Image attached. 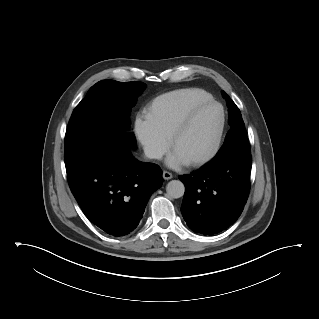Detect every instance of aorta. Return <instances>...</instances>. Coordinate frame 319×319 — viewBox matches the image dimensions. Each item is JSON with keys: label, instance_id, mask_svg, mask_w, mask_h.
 <instances>
[{"label": "aorta", "instance_id": "aorta-1", "mask_svg": "<svg viewBox=\"0 0 319 319\" xmlns=\"http://www.w3.org/2000/svg\"><path fill=\"white\" fill-rule=\"evenodd\" d=\"M166 192L169 197L177 199L184 195V184L179 180H172L166 186Z\"/></svg>", "mask_w": 319, "mask_h": 319}]
</instances>
